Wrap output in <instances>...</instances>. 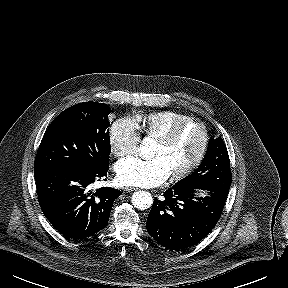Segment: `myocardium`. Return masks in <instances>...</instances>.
I'll return each mask as SVG.
<instances>
[{
    "instance_id": "myocardium-1",
    "label": "myocardium",
    "mask_w": 288,
    "mask_h": 288,
    "mask_svg": "<svg viewBox=\"0 0 288 288\" xmlns=\"http://www.w3.org/2000/svg\"><path fill=\"white\" fill-rule=\"evenodd\" d=\"M196 124L200 127L202 131V144L199 149L198 154L196 155L195 159L189 163L185 168L182 170L171 173V179L172 180H182L189 176L203 161L205 154L207 152L208 146H209V131L207 126L204 122L201 120L194 118V117H188L186 119H183L174 125H172L170 128H168L163 134H161L159 137H157L155 140L161 144L169 145L178 135V133L187 125L189 124Z\"/></svg>"
}]
</instances>
